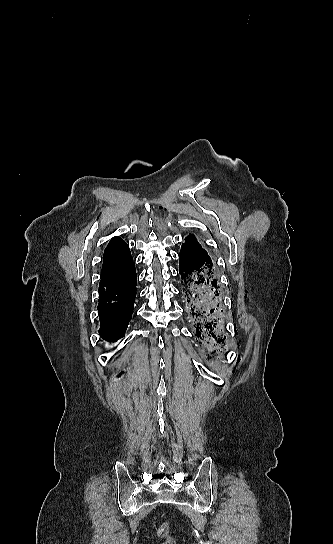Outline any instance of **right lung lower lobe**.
Instances as JSON below:
<instances>
[{"instance_id":"obj_1","label":"right lung lower lobe","mask_w":333,"mask_h":544,"mask_svg":"<svg viewBox=\"0 0 333 544\" xmlns=\"http://www.w3.org/2000/svg\"><path fill=\"white\" fill-rule=\"evenodd\" d=\"M136 297V269L132 262L116 277L100 283L98 312L101 337L116 341L125 335Z\"/></svg>"}]
</instances>
